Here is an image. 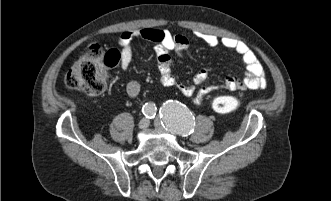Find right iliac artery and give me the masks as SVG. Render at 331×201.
<instances>
[{
  "label": "right iliac artery",
  "mask_w": 331,
  "mask_h": 201,
  "mask_svg": "<svg viewBox=\"0 0 331 201\" xmlns=\"http://www.w3.org/2000/svg\"><path fill=\"white\" fill-rule=\"evenodd\" d=\"M142 112L147 118H154L156 115V107L153 103H145L142 107Z\"/></svg>",
  "instance_id": "right-iliac-artery-1"
}]
</instances>
